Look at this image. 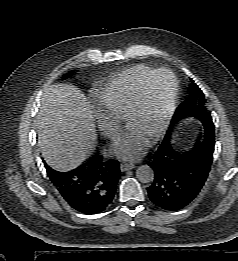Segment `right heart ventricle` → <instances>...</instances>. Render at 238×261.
<instances>
[{
	"label": "right heart ventricle",
	"instance_id": "right-heart-ventricle-1",
	"mask_svg": "<svg viewBox=\"0 0 238 261\" xmlns=\"http://www.w3.org/2000/svg\"><path fill=\"white\" fill-rule=\"evenodd\" d=\"M152 71L154 69L146 65L124 70L97 91V101L108 112L126 117L141 81Z\"/></svg>",
	"mask_w": 238,
	"mask_h": 261
}]
</instances>
